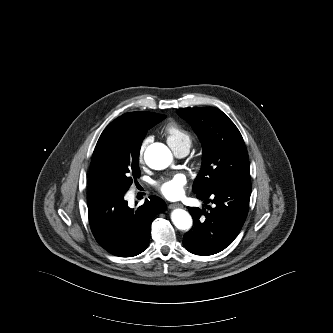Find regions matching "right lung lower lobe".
<instances>
[{
	"instance_id": "obj_1",
	"label": "right lung lower lobe",
	"mask_w": 333,
	"mask_h": 333,
	"mask_svg": "<svg viewBox=\"0 0 333 333\" xmlns=\"http://www.w3.org/2000/svg\"><path fill=\"white\" fill-rule=\"evenodd\" d=\"M125 192L88 194V217L97 242L108 252L132 257L143 252L149 243L155 215L167 209L165 202L150 196L137 209L128 207Z\"/></svg>"
}]
</instances>
